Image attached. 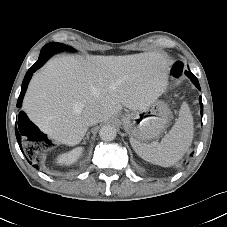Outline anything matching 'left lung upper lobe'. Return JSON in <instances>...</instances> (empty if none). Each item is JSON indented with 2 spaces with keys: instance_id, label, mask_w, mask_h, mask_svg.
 Instances as JSON below:
<instances>
[{
  "instance_id": "left-lung-upper-lobe-1",
  "label": "left lung upper lobe",
  "mask_w": 227,
  "mask_h": 227,
  "mask_svg": "<svg viewBox=\"0 0 227 227\" xmlns=\"http://www.w3.org/2000/svg\"><path fill=\"white\" fill-rule=\"evenodd\" d=\"M185 74L191 79L194 84L199 83L197 78L190 71H185Z\"/></svg>"
}]
</instances>
